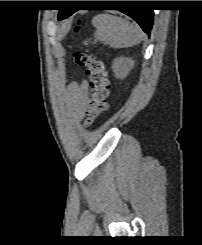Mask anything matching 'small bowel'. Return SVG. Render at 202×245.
<instances>
[{
  "instance_id": "c3829d8e",
  "label": "small bowel",
  "mask_w": 202,
  "mask_h": 245,
  "mask_svg": "<svg viewBox=\"0 0 202 245\" xmlns=\"http://www.w3.org/2000/svg\"><path fill=\"white\" fill-rule=\"evenodd\" d=\"M86 86H87L86 82H82L81 84H77L73 82L70 83L68 86V92L70 96L79 104L84 99Z\"/></svg>"
}]
</instances>
